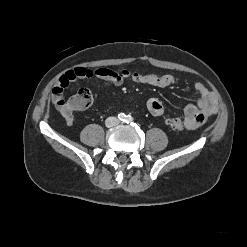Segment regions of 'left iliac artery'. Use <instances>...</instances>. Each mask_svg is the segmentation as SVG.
Returning a JSON list of instances; mask_svg holds the SVG:
<instances>
[{"mask_svg": "<svg viewBox=\"0 0 247 247\" xmlns=\"http://www.w3.org/2000/svg\"><path fill=\"white\" fill-rule=\"evenodd\" d=\"M132 121H133V117L132 116H130V115L126 116V119H125L126 123H131Z\"/></svg>", "mask_w": 247, "mask_h": 247, "instance_id": "1", "label": "left iliac artery"}]
</instances>
